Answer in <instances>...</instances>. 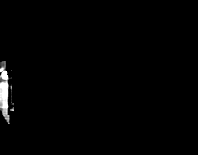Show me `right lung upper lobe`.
Masks as SVG:
<instances>
[{
  "label": "right lung upper lobe",
  "instance_id": "obj_1",
  "mask_svg": "<svg viewBox=\"0 0 198 155\" xmlns=\"http://www.w3.org/2000/svg\"><path fill=\"white\" fill-rule=\"evenodd\" d=\"M94 90V82L87 76L73 74L55 93L56 104L61 108H76L82 105Z\"/></svg>",
  "mask_w": 198,
  "mask_h": 155
}]
</instances>
